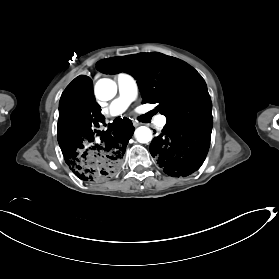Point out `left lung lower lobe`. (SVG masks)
<instances>
[{
	"mask_svg": "<svg viewBox=\"0 0 279 279\" xmlns=\"http://www.w3.org/2000/svg\"><path fill=\"white\" fill-rule=\"evenodd\" d=\"M212 124H166L149 150L169 176H187L198 170L208 153Z\"/></svg>",
	"mask_w": 279,
	"mask_h": 279,
	"instance_id": "left-lung-lower-lobe-1",
	"label": "left lung lower lobe"
}]
</instances>
